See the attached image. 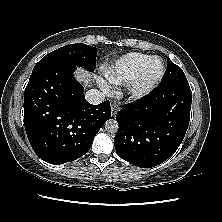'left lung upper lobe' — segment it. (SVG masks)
Returning a JSON list of instances; mask_svg holds the SVG:
<instances>
[{
    "label": "left lung upper lobe",
    "mask_w": 222,
    "mask_h": 222,
    "mask_svg": "<svg viewBox=\"0 0 222 222\" xmlns=\"http://www.w3.org/2000/svg\"><path fill=\"white\" fill-rule=\"evenodd\" d=\"M162 84L184 83L188 84L187 78L182 69L174 64L170 59L167 60V70L161 80Z\"/></svg>",
    "instance_id": "1"
}]
</instances>
